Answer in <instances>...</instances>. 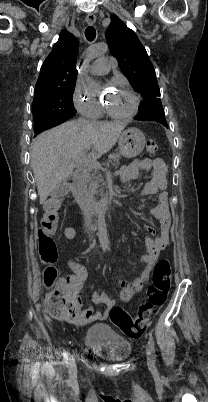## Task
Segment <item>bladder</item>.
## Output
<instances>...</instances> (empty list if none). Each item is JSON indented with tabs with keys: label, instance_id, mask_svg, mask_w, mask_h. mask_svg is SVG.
<instances>
[{
	"label": "bladder",
	"instance_id": "obj_1",
	"mask_svg": "<svg viewBox=\"0 0 208 402\" xmlns=\"http://www.w3.org/2000/svg\"><path fill=\"white\" fill-rule=\"evenodd\" d=\"M84 344L100 358L107 360L125 358L131 352L130 342L109 325L97 324L86 329Z\"/></svg>",
	"mask_w": 208,
	"mask_h": 402
}]
</instances>
